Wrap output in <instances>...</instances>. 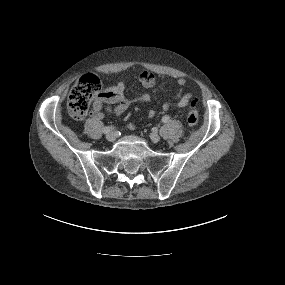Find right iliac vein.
<instances>
[{
  "label": "right iliac vein",
  "mask_w": 285,
  "mask_h": 285,
  "mask_svg": "<svg viewBox=\"0 0 285 285\" xmlns=\"http://www.w3.org/2000/svg\"><path fill=\"white\" fill-rule=\"evenodd\" d=\"M106 139H107L109 142H113V141L116 139V134H115V132H109V133L106 135Z\"/></svg>",
  "instance_id": "1"
}]
</instances>
